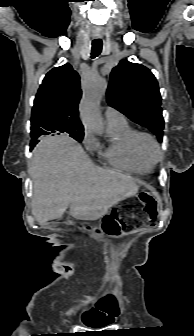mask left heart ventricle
Wrapping results in <instances>:
<instances>
[{
  "label": "left heart ventricle",
  "mask_w": 194,
  "mask_h": 336,
  "mask_svg": "<svg viewBox=\"0 0 194 336\" xmlns=\"http://www.w3.org/2000/svg\"><path fill=\"white\" fill-rule=\"evenodd\" d=\"M142 151H143V154L145 155V157L151 158L153 156V152H154L152 144L149 141L144 140L142 142Z\"/></svg>",
  "instance_id": "b2bd125f"
}]
</instances>
